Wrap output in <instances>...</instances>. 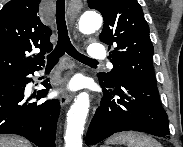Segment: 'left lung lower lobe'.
Masks as SVG:
<instances>
[{
	"mask_svg": "<svg viewBox=\"0 0 183 147\" xmlns=\"http://www.w3.org/2000/svg\"><path fill=\"white\" fill-rule=\"evenodd\" d=\"M100 85L104 96L88 128L87 145H94L122 131L168 137V117L161 106L155 83L122 77L112 86L101 82Z\"/></svg>",
	"mask_w": 183,
	"mask_h": 147,
	"instance_id": "obj_1",
	"label": "left lung lower lobe"
}]
</instances>
